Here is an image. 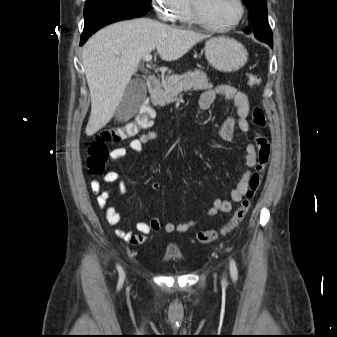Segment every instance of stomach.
<instances>
[{"instance_id": "0dacf381", "label": "stomach", "mask_w": 337, "mask_h": 337, "mask_svg": "<svg viewBox=\"0 0 337 337\" xmlns=\"http://www.w3.org/2000/svg\"><path fill=\"white\" fill-rule=\"evenodd\" d=\"M205 56L208 62L222 72L237 71L248 59L245 47L228 37H215L206 42Z\"/></svg>"}]
</instances>
